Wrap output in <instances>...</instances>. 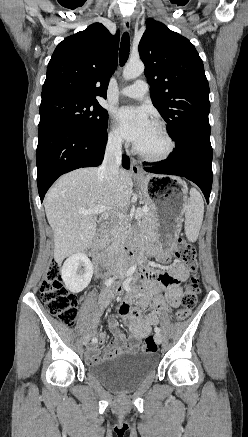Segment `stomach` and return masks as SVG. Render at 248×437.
Listing matches in <instances>:
<instances>
[{
	"label": "stomach",
	"mask_w": 248,
	"mask_h": 437,
	"mask_svg": "<svg viewBox=\"0 0 248 437\" xmlns=\"http://www.w3.org/2000/svg\"><path fill=\"white\" fill-rule=\"evenodd\" d=\"M146 203L154 211L155 228L163 251L172 249L175 236L180 231L182 217L188 205L187 190L174 186L180 179L167 175L147 174L136 179Z\"/></svg>",
	"instance_id": "1"
}]
</instances>
